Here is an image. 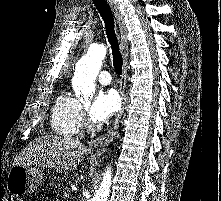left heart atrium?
<instances>
[{"label":"left heart atrium","mask_w":221,"mask_h":201,"mask_svg":"<svg viewBox=\"0 0 221 201\" xmlns=\"http://www.w3.org/2000/svg\"><path fill=\"white\" fill-rule=\"evenodd\" d=\"M120 107V99L114 90L101 91L90 109L93 121L102 123L112 117Z\"/></svg>","instance_id":"obj_1"}]
</instances>
